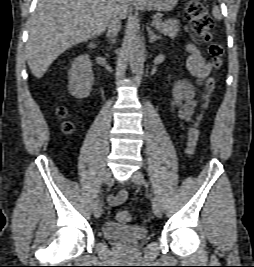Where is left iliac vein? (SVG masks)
<instances>
[{
	"label": "left iliac vein",
	"instance_id": "1",
	"mask_svg": "<svg viewBox=\"0 0 254 267\" xmlns=\"http://www.w3.org/2000/svg\"><path fill=\"white\" fill-rule=\"evenodd\" d=\"M131 180L138 185H144L145 184V178L144 175L140 171H136L131 175ZM152 206H153V211L154 214L157 217L162 216V206L160 203V200L157 196H153L152 199Z\"/></svg>",
	"mask_w": 254,
	"mask_h": 267
}]
</instances>
